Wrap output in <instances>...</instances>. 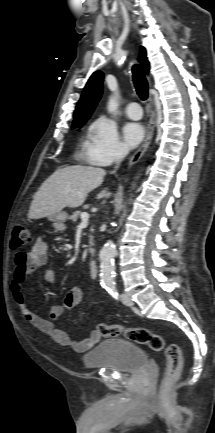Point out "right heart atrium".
I'll return each instance as SVG.
<instances>
[{
  "label": "right heart atrium",
  "mask_w": 215,
  "mask_h": 433,
  "mask_svg": "<svg viewBox=\"0 0 215 433\" xmlns=\"http://www.w3.org/2000/svg\"><path fill=\"white\" fill-rule=\"evenodd\" d=\"M126 154L116 124L105 116L91 124L84 145V155L93 165L108 166Z\"/></svg>",
  "instance_id": "obj_1"
}]
</instances>
